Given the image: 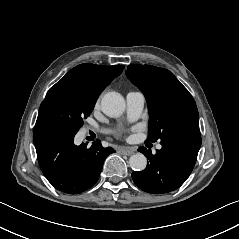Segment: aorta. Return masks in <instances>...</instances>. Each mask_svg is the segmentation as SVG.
Here are the masks:
<instances>
[{"label": "aorta", "mask_w": 239, "mask_h": 239, "mask_svg": "<svg viewBox=\"0 0 239 239\" xmlns=\"http://www.w3.org/2000/svg\"><path fill=\"white\" fill-rule=\"evenodd\" d=\"M102 111L111 118L120 117L126 108L123 96L118 92H108L101 100ZM129 164L133 170L142 171L146 168L147 159L142 153H136L129 159Z\"/></svg>", "instance_id": "762f6f07"}]
</instances>
